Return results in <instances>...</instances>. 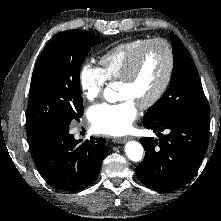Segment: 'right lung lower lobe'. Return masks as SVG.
<instances>
[{"mask_svg": "<svg viewBox=\"0 0 221 221\" xmlns=\"http://www.w3.org/2000/svg\"><path fill=\"white\" fill-rule=\"evenodd\" d=\"M105 143L104 138L93 137L82 143L69 133V124H65L48 131L30 148L35 165L47 183L56 189L75 192L89 186L97 177L107 153Z\"/></svg>", "mask_w": 221, "mask_h": 221, "instance_id": "1", "label": "right lung lower lobe"}]
</instances>
